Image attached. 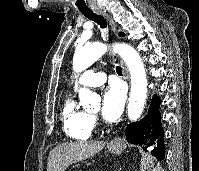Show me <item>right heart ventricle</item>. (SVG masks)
<instances>
[{"label":"right heart ventricle","mask_w":199,"mask_h":171,"mask_svg":"<svg viewBox=\"0 0 199 171\" xmlns=\"http://www.w3.org/2000/svg\"><path fill=\"white\" fill-rule=\"evenodd\" d=\"M62 125L67 137L84 141L87 140L93 131L91 115L80 109L72 93H69L62 105Z\"/></svg>","instance_id":"obj_1"}]
</instances>
